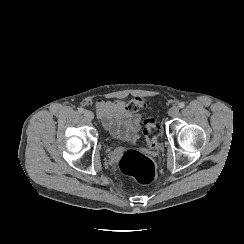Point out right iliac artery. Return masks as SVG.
I'll list each match as a JSON object with an SVG mask.
<instances>
[{
  "label": "right iliac artery",
  "mask_w": 244,
  "mask_h": 244,
  "mask_svg": "<svg viewBox=\"0 0 244 244\" xmlns=\"http://www.w3.org/2000/svg\"><path fill=\"white\" fill-rule=\"evenodd\" d=\"M85 110L82 108V107H80V108H78V112L79 113H83Z\"/></svg>",
  "instance_id": "obj_1"
}]
</instances>
